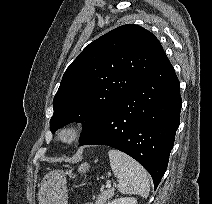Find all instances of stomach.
<instances>
[{
  "label": "stomach",
  "mask_w": 212,
  "mask_h": 204,
  "mask_svg": "<svg viewBox=\"0 0 212 204\" xmlns=\"http://www.w3.org/2000/svg\"><path fill=\"white\" fill-rule=\"evenodd\" d=\"M66 174L71 172L54 170L47 173L41 181L38 193L39 204H67Z\"/></svg>",
  "instance_id": "1"
}]
</instances>
